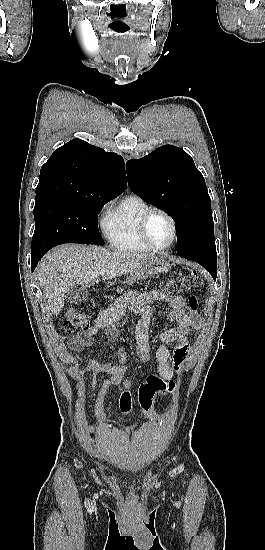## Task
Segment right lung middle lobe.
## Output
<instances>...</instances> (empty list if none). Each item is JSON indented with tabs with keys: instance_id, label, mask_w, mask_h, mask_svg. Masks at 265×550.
<instances>
[{
	"instance_id": "obj_1",
	"label": "right lung middle lobe",
	"mask_w": 265,
	"mask_h": 550,
	"mask_svg": "<svg viewBox=\"0 0 265 550\" xmlns=\"http://www.w3.org/2000/svg\"><path fill=\"white\" fill-rule=\"evenodd\" d=\"M111 199L36 197L31 254L47 252L63 243L103 245L98 231V213Z\"/></svg>"
}]
</instances>
